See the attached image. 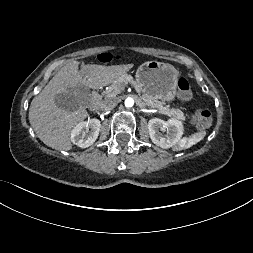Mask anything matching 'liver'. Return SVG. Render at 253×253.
<instances>
[{
	"label": "liver",
	"mask_w": 253,
	"mask_h": 253,
	"mask_svg": "<svg viewBox=\"0 0 253 253\" xmlns=\"http://www.w3.org/2000/svg\"><path fill=\"white\" fill-rule=\"evenodd\" d=\"M129 66H104L96 64L81 65L71 61L63 66L33 98L29 108V122L38 138L56 150L72 149V129L87 116L84 106L67 111L55 103L56 95L85 86L88 89H98L117 82Z\"/></svg>",
	"instance_id": "6515ba94"
}]
</instances>
